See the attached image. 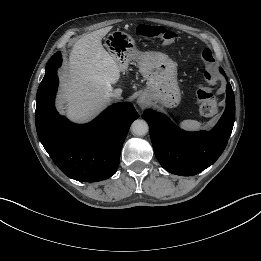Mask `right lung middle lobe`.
Segmentation results:
<instances>
[{"label": "right lung middle lobe", "instance_id": "right-lung-middle-lobe-1", "mask_svg": "<svg viewBox=\"0 0 261 261\" xmlns=\"http://www.w3.org/2000/svg\"><path fill=\"white\" fill-rule=\"evenodd\" d=\"M61 65V54L60 52L55 53L47 63L45 76L38 88L41 89L49 80V73L56 70Z\"/></svg>", "mask_w": 261, "mask_h": 261}]
</instances>
